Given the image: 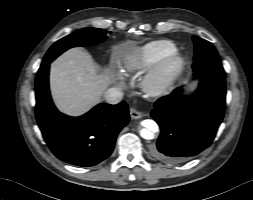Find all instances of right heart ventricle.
Returning a JSON list of instances; mask_svg holds the SVG:
<instances>
[{"mask_svg": "<svg viewBox=\"0 0 253 200\" xmlns=\"http://www.w3.org/2000/svg\"><path fill=\"white\" fill-rule=\"evenodd\" d=\"M177 51L176 45L169 40H156L134 48L123 61L129 72L151 68L164 55Z\"/></svg>", "mask_w": 253, "mask_h": 200, "instance_id": "1", "label": "right heart ventricle"}]
</instances>
